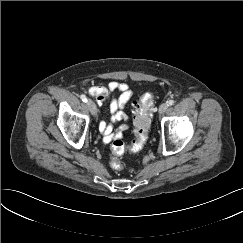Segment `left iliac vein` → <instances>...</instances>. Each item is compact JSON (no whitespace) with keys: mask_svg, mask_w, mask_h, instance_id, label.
I'll return each mask as SVG.
<instances>
[{"mask_svg":"<svg viewBox=\"0 0 243 243\" xmlns=\"http://www.w3.org/2000/svg\"><path fill=\"white\" fill-rule=\"evenodd\" d=\"M168 108V104L167 103H162L159 107V113L163 114Z\"/></svg>","mask_w":243,"mask_h":243,"instance_id":"left-iliac-vein-1","label":"left iliac vein"}]
</instances>
